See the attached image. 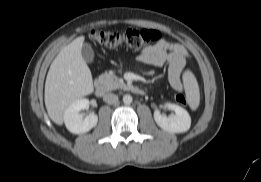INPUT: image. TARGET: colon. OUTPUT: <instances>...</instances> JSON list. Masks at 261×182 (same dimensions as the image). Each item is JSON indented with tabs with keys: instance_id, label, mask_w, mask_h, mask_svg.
Masks as SVG:
<instances>
[{
	"instance_id": "1",
	"label": "colon",
	"mask_w": 261,
	"mask_h": 182,
	"mask_svg": "<svg viewBox=\"0 0 261 182\" xmlns=\"http://www.w3.org/2000/svg\"><path fill=\"white\" fill-rule=\"evenodd\" d=\"M91 39L102 46L117 48L126 47L131 50L143 49L156 43L161 38V33L154 29L129 28L124 31H92ZM179 103H185L183 95H176Z\"/></svg>"
}]
</instances>
